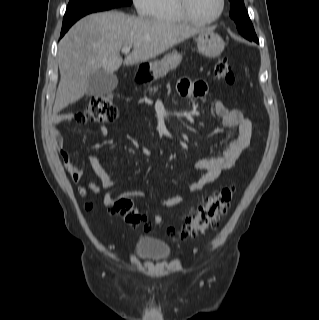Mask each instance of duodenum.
Masks as SVG:
<instances>
[{"mask_svg": "<svg viewBox=\"0 0 319 320\" xmlns=\"http://www.w3.org/2000/svg\"><path fill=\"white\" fill-rule=\"evenodd\" d=\"M142 70L144 71V69H142ZM139 79H140L141 81L147 80V74H146V75H141V74H139Z\"/></svg>", "mask_w": 319, "mask_h": 320, "instance_id": "410a0bca", "label": "duodenum"}]
</instances>
